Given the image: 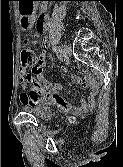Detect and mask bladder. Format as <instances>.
Wrapping results in <instances>:
<instances>
[{"instance_id": "obj_1", "label": "bladder", "mask_w": 123, "mask_h": 167, "mask_svg": "<svg viewBox=\"0 0 123 167\" xmlns=\"http://www.w3.org/2000/svg\"><path fill=\"white\" fill-rule=\"evenodd\" d=\"M22 110L40 119H49L51 117V109L46 104L23 105Z\"/></svg>"}]
</instances>
